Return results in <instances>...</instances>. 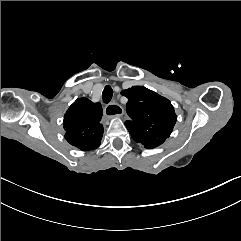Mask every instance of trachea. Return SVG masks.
<instances>
[{
	"instance_id": "3493384b",
	"label": "trachea",
	"mask_w": 241,
	"mask_h": 241,
	"mask_svg": "<svg viewBox=\"0 0 241 241\" xmlns=\"http://www.w3.org/2000/svg\"><path fill=\"white\" fill-rule=\"evenodd\" d=\"M112 97H113V90L109 85H107L104 88L102 93L103 102L105 104H108L111 101Z\"/></svg>"
}]
</instances>
